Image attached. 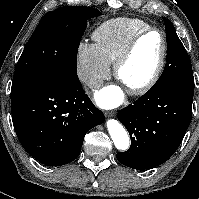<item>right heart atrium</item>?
Listing matches in <instances>:
<instances>
[{"label":"right heart atrium","instance_id":"obj_1","mask_svg":"<svg viewBox=\"0 0 199 199\" xmlns=\"http://www.w3.org/2000/svg\"><path fill=\"white\" fill-rule=\"evenodd\" d=\"M76 72L84 85L95 90L109 76L110 63L94 43L81 42L77 48Z\"/></svg>","mask_w":199,"mask_h":199}]
</instances>
